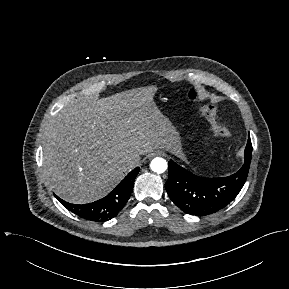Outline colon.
Returning a JSON list of instances; mask_svg holds the SVG:
<instances>
[{"label": "colon", "instance_id": "colon-1", "mask_svg": "<svg viewBox=\"0 0 289 289\" xmlns=\"http://www.w3.org/2000/svg\"><path fill=\"white\" fill-rule=\"evenodd\" d=\"M197 94L194 89H191L188 92V98L190 100L196 99ZM203 114L205 115L206 119L208 120L210 127L214 134L219 137H229L231 135L230 130L227 126L220 120L217 109L215 106H207L203 108Z\"/></svg>", "mask_w": 289, "mask_h": 289}]
</instances>
